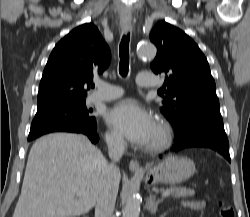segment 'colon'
I'll use <instances>...</instances> for the list:
<instances>
[{"label": "colon", "mask_w": 250, "mask_h": 217, "mask_svg": "<svg viewBox=\"0 0 250 217\" xmlns=\"http://www.w3.org/2000/svg\"><path fill=\"white\" fill-rule=\"evenodd\" d=\"M219 217H234V210L226 199L218 201Z\"/></svg>", "instance_id": "1"}]
</instances>
